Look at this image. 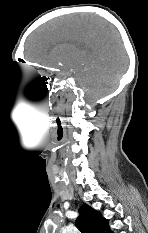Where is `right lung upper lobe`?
Instances as JSON below:
<instances>
[{
    "label": "right lung upper lobe",
    "instance_id": "cb5924a9",
    "mask_svg": "<svg viewBox=\"0 0 148 233\" xmlns=\"http://www.w3.org/2000/svg\"><path fill=\"white\" fill-rule=\"evenodd\" d=\"M76 226L81 233H113L109 221L87 204L81 205Z\"/></svg>",
    "mask_w": 148,
    "mask_h": 233
}]
</instances>
